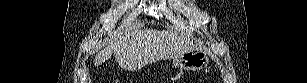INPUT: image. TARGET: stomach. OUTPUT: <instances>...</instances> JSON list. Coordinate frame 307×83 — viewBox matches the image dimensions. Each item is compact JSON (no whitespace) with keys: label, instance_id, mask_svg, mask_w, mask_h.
Returning a JSON list of instances; mask_svg holds the SVG:
<instances>
[{"label":"stomach","instance_id":"stomach-1","mask_svg":"<svg viewBox=\"0 0 307 83\" xmlns=\"http://www.w3.org/2000/svg\"><path fill=\"white\" fill-rule=\"evenodd\" d=\"M173 63L180 70H201L208 65L209 58L203 50H189L173 59Z\"/></svg>","mask_w":307,"mask_h":83}]
</instances>
